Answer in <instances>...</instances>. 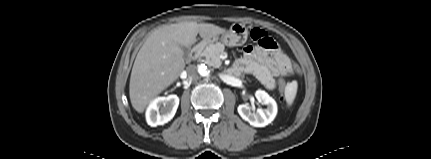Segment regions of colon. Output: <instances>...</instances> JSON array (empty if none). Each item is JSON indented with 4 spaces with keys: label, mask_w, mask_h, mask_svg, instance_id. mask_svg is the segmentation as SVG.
<instances>
[{
    "label": "colon",
    "mask_w": 431,
    "mask_h": 159,
    "mask_svg": "<svg viewBox=\"0 0 431 159\" xmlns=\"http://www.w3.org/2000/svg\"><path fill=\"white\" fill-rule=\"evenodd\" d=\"M250 37L253 41L259 43V44H264V45H268L269 44V36L267 34L266 31L259 29V28H254L251 30L250 32ZM279 88H280V102L282 103L284 101V92L286 90V84L283 80L279 81Z\"/></svg>",
    "instance_id": "obj_1"
}]
</instances>
